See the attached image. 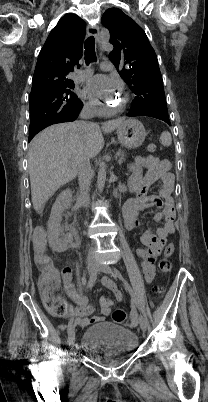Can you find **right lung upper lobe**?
I'll return each mask as SVG.
<instances>
[{
	"label": "right lung upper lobe",
	"mask_w": 208,
	"mask_h": 402,
	"mask_svg": "<svg viewBox=\"0 0 208 402\" xmlns=\"http://www.w3.org/2000/svg\"><path fill=\"white\" fill-rule=\"evenodd\" d=\"M85 32V22L75 14L59 20L39 53L31 93L42 84L70 80L68 73L80 67Z\"/></svg>",
	"instance_id": "obj_1"
}]
</instances>
